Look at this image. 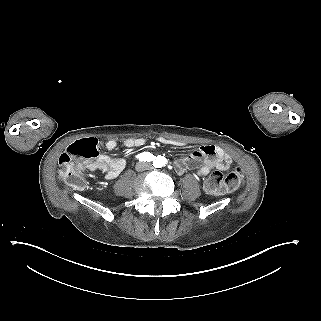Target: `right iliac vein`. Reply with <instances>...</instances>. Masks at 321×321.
<instances>
[{
    "instance_id": "obj_1",
    "label": "right iliac vein",
    "mask_w": 321,
    "mask_h": 321,
    "mask_svg": "<svg viewBox=\"0 0 321 321\" xmlns=\"http://www.w3.org/2000/svg\"><path fill=\"white\" fill-rule=\"evenodd\" d=\"M142 168H143V165H142V164H139V165L136 167L137 170H141Z\"/></svg>"
}]
</instances>
